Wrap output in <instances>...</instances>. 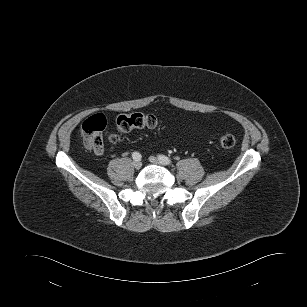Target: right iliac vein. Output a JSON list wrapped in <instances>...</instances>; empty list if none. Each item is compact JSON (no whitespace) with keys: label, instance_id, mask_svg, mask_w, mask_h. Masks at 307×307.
Here are the masks:
<instances>
[{"label":"right iliac vein","instance_id":"obj_1","mask_svg":"<svg viewBox=\"0 0 307 307\" xmlns=\"http://www.w3.org/2000/svg\"><path fill=\"white\" fill-rule=\"evenodd\" d=\"M133 166L135 169H140L142 167V162L140 160H135Z\"/></svg>","mask_w":307,"mask_h":307}]
</instances>
